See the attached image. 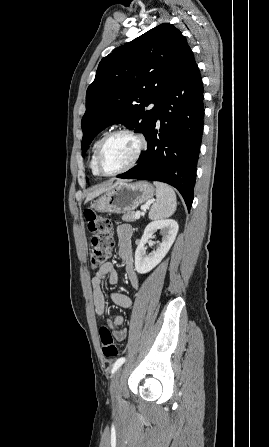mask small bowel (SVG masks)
I'll use <instances>...</instances> for the list:
<instances>
[{
	"instance_id": "1",
	"label": "small bowel",
	"mask_w": 269,
	"mask_h": 447,
	"mask_svg": "<svg viewBox=\"0 0 269 447\" xmlns=\"http://www.w3.org/2000/svg\"><path fill=\"white\" fill-rule=\"evenodd\" d=\"M118 254L122 258L128 279L133 288L140 287V280L135 272L133 265V254L131 236L132 229L130 226L123 224L117 228L116 231ZM107 280L109 284L115 285L119 281L117 269L113 263H106L95 272L91 284L93 288V303L97 315L102 316L105 313V293L102 288V283ZM109 297L112 302L122 308H130L132 306V300L125 294L119 292L109 293ZM124 318L122 315H114L111 318L109 326L111 328L119 327L122 325ZM126 330L117 329L114 333V337L117 341H123L126 338Z\"/></svg>"
}]
</instances>
